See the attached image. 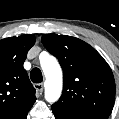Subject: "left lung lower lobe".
I'll return each mask as SVG.
<instances>
[{
	"mask_svg": "<svg viewBox=\"0 0 119 119\" xmlns=\"http://www.w3.org/2000/svg\"><path fill=\"white\" fill-rule=\"evenodd\" d=\"M52 111L54 113L55 119H108L107 116L81 114L69 110H59L54 107H52Z\"/></svg>",
	"mask_w": 119,
	"mask_h": 119,
	"instance_id": "obj_1",
	"label": "left lung lower lobe"
}]
</instances>
